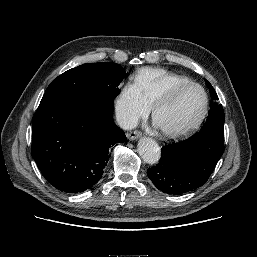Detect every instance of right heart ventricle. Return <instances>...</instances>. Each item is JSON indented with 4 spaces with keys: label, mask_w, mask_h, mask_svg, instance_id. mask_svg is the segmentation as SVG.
<instances>
[{
    "label": "right heart ventricle",
    "mask_w": 257,
    "mask_h": 257,
    "mask_svg": "<svg viewBox=\"0 0 257 257\" xmlns=\"http://www.w3.org/2000/svg\"><path fill=\"white\" fill-rule=\"evenodd\" d=\"M134 82L151 107L176 85L192 82L189 78L162 68H142L134 75Z\"/></svg>",
    "instance_id": "right-heart-ventricle-1"
}]
</instances>
